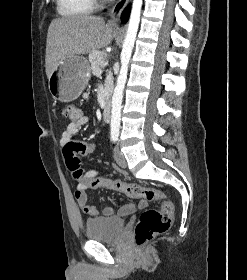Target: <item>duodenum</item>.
I'll return each mask as SVG.
<instances>
[{
	"mask_svg": "<svg viewBox=\"0 0 247 280\" xmlns=\"http://www.w3.org/2000/svg\"><path fill=\"white\" fill-rule=\"evenodd\" d=\"M102 116L104 121L109 122L111 119V104L109 101H106L103 105Z\"/></svg>",
	"mask_w": 247,
	"mask_h": 280,
	"instance_id": "duodenum-1",
	"label": "duodenum"
}]
</instances>
